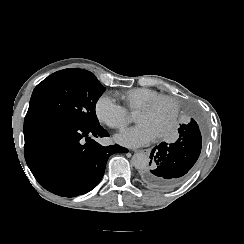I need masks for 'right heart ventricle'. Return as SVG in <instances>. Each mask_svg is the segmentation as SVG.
<instances>
[{
    "label": "right heart ventricle",
    "mask_w": 244,
    "mask_h": 244,
    "mask_svg": "<svg viewBox=\"0 0 244 244\" xmlns=\"http://www.w3.org/2000/svg\"><path fill=\"white\" fill-rule=\"evenodd\" d=\"M114 95L121 99L132 111L142 106L145 101L149 102L153 97H162L157 92L147 88H136L130 91L116 92Z\"/></svg>",
    "instance_id": "1"
}]
</instances>
